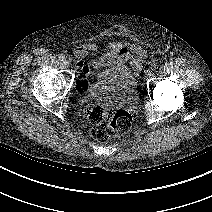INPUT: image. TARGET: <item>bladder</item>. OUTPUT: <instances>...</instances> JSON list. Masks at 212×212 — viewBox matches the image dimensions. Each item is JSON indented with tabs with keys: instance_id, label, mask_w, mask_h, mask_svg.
Segmentation results:
<instances>
[{
	"instance_id": "obj_1",
	"label": "bladder",
	"mask_w": 212,
	"mask_h": 212,
	"mask_svg": "<svg viewBox=\"0 0 212 212\" xmlns=\"http://www.w3.org/2000/svg\"><path fill=\"white\" fill-rule=\"evenodd\" d=\"M138 96L136 82L125 66H114L98 72L79 93L85 103L129 104Z\"/></svg>"
}]
</instances>
